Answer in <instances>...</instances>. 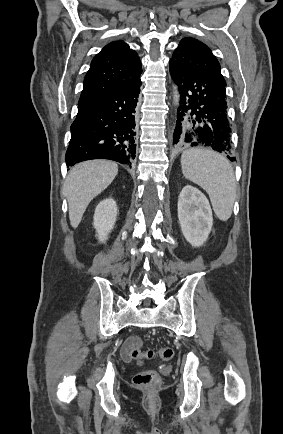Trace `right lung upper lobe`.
<instances>
[{"label":"right lung upper lobe","instance_id":"obj_1","mask_svg":"<svg viewBox=\"0 0 283 434\" xmlns=\"http://www.w3.org/2000/svg\"><path fill=\"white\" fill-rule=\"evenodd\" d=\"M141 72L138 54L123 41L111 42L93 58L79 103L128 88Z\"/></svg>","mask_w":283,"mask_h":434}]
</instances>
